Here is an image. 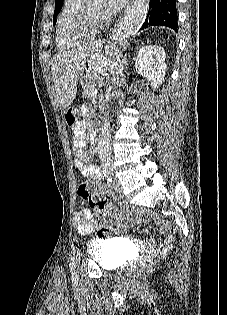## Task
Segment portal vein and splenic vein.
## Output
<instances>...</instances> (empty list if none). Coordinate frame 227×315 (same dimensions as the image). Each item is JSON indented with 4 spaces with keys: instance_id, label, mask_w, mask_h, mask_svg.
<instances>
[{
    "instance_id": "1",
    "label": "portal vein and splenic vein",
    "mask_w": 227,
    "mask_h": 315,
    "mask_svg": "<svg viewBox=\"0 0 227 315\" xmlns=\"http://www.w3.org/2000/svg\"><path fill=\"white\" fill-rule=\"evenodd\" d=\"M96 94H97V90H96V89H94V90L91 91V95H92V96H95Z\"/></svg>"
}]
</instances>
